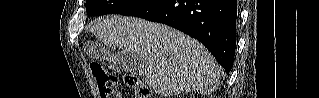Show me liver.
<instances>
[{
  "mask_svg": "<svg viewBox=\"0 0 319 98\" xmlns=\"http://www.w3.org/2000/svg\"><path fill=\"white\" fill-rule=\"evenodd\" d=\"M89 31L107 47L137 57L144 81L161 96L210 95L219 85L220 68L210 52L167 25L114 15L95 21Z\"/></svg>",
  "mask_w": 319,
  "mask_h": 98,
  "instance_id": "obj_1",
  "label": "liver"
}]
</instances>
